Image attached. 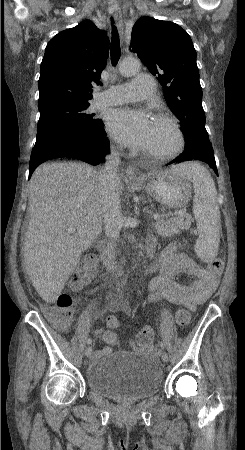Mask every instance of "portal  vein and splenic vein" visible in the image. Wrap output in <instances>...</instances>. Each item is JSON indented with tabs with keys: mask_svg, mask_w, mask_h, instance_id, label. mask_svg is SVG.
<instances>
[{
	"mask_svg": "<svg viewBox=\"0 0 245 450\" xmlns=\"http://www.w3.org/2000/svg\"><path fill=\"white\" fill-rule=\"evenodd\" d=\"M183 213H186V209H183V210H181V211L178 212V214H183ZM178 214H177V215H178ZM153 218H154V220L157 221V220L160 219V215L155 213V214H153ZM68 232H69V233H75V229H74V228H69V229H68Z\"/></svg>",
	"mask_w": 245,
	"mask_h": 450,
	"instance_id": "obj_1",
	"label": "portal vein and splenic vein"
}]
</instances>
